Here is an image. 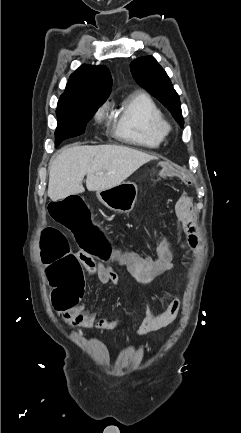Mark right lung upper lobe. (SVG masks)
<instances>
[{"label":"right lung upper lobe","instance_id":"obj_1","mask_svg":"<svg viewBox=\"0 0 241 433\" xmlns=\"http://www.w3.org/2000/svg\"><path fill=\"white\" fill-rule=\"evenodd\" d=\"M111 86L112 78L107 67L82 65L71 75L58 103L105 102Z\"/></svg>","mask_w":241,"mask_h":433}]
</instances>
